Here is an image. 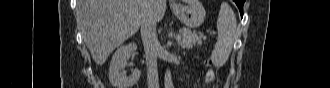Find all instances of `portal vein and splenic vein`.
<instances>
[{"label":"portal vein and splenic vein","mask_w":330,"mask_h":88,"mask_svg":"<svg viewBox=\"0 0 330 88\" xmlns=\"http://www.w3.org/2000/svg\"><path fill=\"white\" fill-rule=\"evenodd\" d=\"M176 39L177 41H179L181 39V36H177Z\"/></svg>","instance_id":"obj_1"}]
</instances>
